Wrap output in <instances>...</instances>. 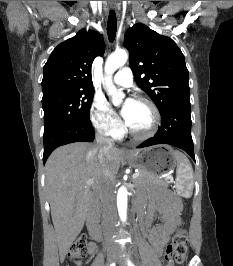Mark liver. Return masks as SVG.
<instances>
[{
  "label": "liver",
  "mask_w": 233,
  "mask_h": 266,
  "mask_svg": "<svg viewBox=\"0 0 233 266\" xmlns=\"http://www.w3.org/2000/svg\"><path fill=\"white\" fill-rule=\"evenodd\" d=\"M98 146L76 142L57 148L45 165L46 188L56 232L60 261L81 232L93 192L107 177L114 180L121 153L112 148L101 161ZM93 180L92 185H86Z\"/></svg>",
  "instance_id": "liver-1"
}]
</instances>
